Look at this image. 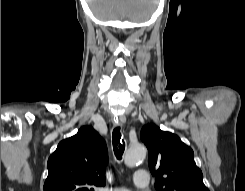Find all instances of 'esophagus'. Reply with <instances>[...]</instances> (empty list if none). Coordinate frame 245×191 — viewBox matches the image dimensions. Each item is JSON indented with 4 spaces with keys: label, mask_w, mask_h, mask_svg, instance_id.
I'll list each match as a JSON object with an SVG mask.
<instances>
[{
    "label": "esophagus",
    "mask_w": 245,
    "mask_h": 191,
    "mask_svg": "<svg viewBox=\"0 0 245 191\" xmlns=\"http://www.w3.org/2000/svg\"><path fill=\"white\" fill-rule=\"evenodd\" d=\"M126 122V117L124 115H120L116 120V125H123Z\"/></svg>",
    "instance_id": "34e87169"
}]
</instances>
